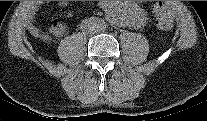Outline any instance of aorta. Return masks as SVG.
<instances>
[{
    "label": "aorta",
    "instance_id": "obj_1",
    "mask_svg": "<svg viewBox=\"0 0 207 121\" xmlns=\"http://www.w3.org/2000/svg\"><path fill=\"white\" fill-rule=\"evenodd\" d=\"M128 6V3L123 1H112L109 7L111 21L118 26H129L132 16Z\"/></svg>",
    "mask_w": 207,
    "mask_h": 121
}]
</instances>
